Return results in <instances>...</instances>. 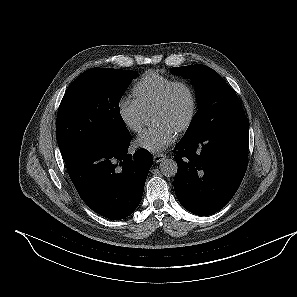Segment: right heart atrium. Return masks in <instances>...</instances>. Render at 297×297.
<instances>
[{
	"label": "right heart atrium",
	"instance_id": "1",
	"mask_svg": "<svg viewBox=\"0 0 297 297\" xmlns=\"http://www.w3.org/2000/svg\"><path fill=\"white\" fill-rule=\"evenodd\" d=\"M116 111L119 120L127 130L133 133L141 131L145 112L134 99L127 96L120 97L116 104Z\"/></svg>",
	"mask_w": 297,
	"mask_h": 297
}]
</instances>
